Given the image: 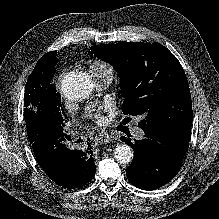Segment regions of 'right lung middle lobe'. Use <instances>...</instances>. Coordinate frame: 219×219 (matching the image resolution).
<instances>
[{"label": "right lung middle lobe", "mask_w": 219, "mask_h": 219, "mask_svg": "<svg viewBox=\"0 0 219 219\" xmlns=\"http://www.w3.org/2000/svg\"><path fill=\"white\" fill-rule=\"evenodd\" d=\"M56 64L53 54H45L28 77L24 94L26 125L45 119L64 129L69 120L62 107L61 96L51 83Z\"/></svg>", "instance_id": "dd1d6c3e"}]
</instances>
